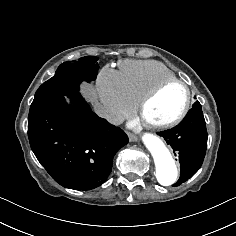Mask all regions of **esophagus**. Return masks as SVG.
Here are the masks:
<instances>
[{
  "label": "esophagus",
  "mask_w": 236,
  "mask_h": 236,
  "mask_svg": "<svg viewBox=\"0 0 236 236\" xmlns=\"http://www.w3.org/2000/svg\"><path fill=\"white\" fill-rule=\"evenodd\" d=\"M129 141H130V142H137L138 139H137V137H136L135 135L129 134Z\"/></svg>",
  "instance_id": "1"
}]
</instances>
